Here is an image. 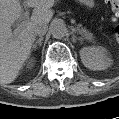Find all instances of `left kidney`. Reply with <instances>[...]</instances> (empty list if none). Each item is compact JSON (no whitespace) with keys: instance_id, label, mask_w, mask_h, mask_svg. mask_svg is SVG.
<instances>
[{"instance_id":"obj_1","label":"left kidney","mask_w":119,"mask_h":119,"mask_svg":"<svg viewBox=\"0 0 119 119\" xmlns=\"http://www.w3.org/2000/svg\"><path fill=\"white\" fill-rule=\"evenodd\" d=\"M79 53L83 65L90 70H105L111 65L107 50L101 46L83 47Z\"/></svg>"}]
</instances>
